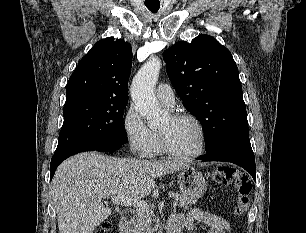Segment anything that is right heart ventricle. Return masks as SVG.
I'll list each match as a JSON object with an SVG mask.
<instances>
[{
	"instance_id": "1",
	"label": "right heart ventricle",
	"mask_w": 306,
	"mask_h": 233,
	"mask_svg": "<svg viewBox=\"0 0 306 233\" xmlns=\"http://www.w3.org/2000/svg\"><path fill=\"white\" fill-rule=\"evenodd\" d=\"M162 146H161V140H160V136L158 135V141H157V150L156 152H162Z\"/></svg>"
}]
</instances>
